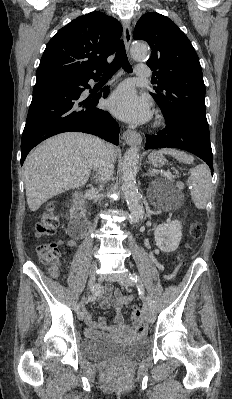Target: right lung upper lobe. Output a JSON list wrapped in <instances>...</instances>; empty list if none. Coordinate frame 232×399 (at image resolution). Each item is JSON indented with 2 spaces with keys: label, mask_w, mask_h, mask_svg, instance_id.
I'll return each instance as SVG.
<instances>
[{
  "label": "right lung upper lobe",
  "mask_w": 232,
  "mask_h": 399,
  "mask_svg": "<svg viewBox=\"0 0 232 399\" xmlns=\"http://www.w3.org/2000/svg\"><path fill=\"white\" fill-rule=\"evenodd\" d=\"M121 33V24L102 12L77 17L48 42L36 76L102 74Z\"/></svg>",
  "instance_id": "obj_1"
}]
</instances>
